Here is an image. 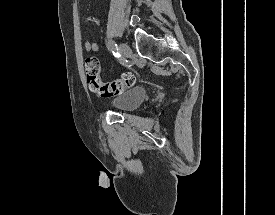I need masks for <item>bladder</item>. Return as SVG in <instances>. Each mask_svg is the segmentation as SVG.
I'll list each match as a JSON object with an SVG mask.
<instances>
[{
    "label": "bladder",
    "instance_id": "bladder-1",
    "mask_svg": "<svg viewBox=\"0 0 275 215\" xmlns=\"http://www.w3.org/2000/svg\"><path fill=\"white\" fill-rule=\"evenodd\" d=\"M145 90L142 87L120 93L112 100V105L120 112H130L145 100Z\"/></svg>",
    "mask_w": 275,
    "mask_h": 215
}]
</instances>
